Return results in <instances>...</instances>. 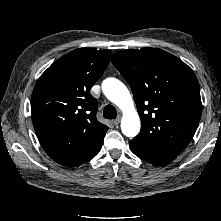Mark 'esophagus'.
I'll list each match as a JSON object with an SVG mask.
<instances>
[{
  "label": "esophagus",
  "mask_w": 221,
  "mask_h": 221,
  "mask_svg": "<svg viewBox=\"0 0 221 221\" xmlns=\"http://www.w3.org/2000/svg\"><path fill=\"white\" fill-rule=\"evenodd\" d=\"M120 121H121V118L118 117V118H116L115 120H113V124H114L115 126H117V125L120 123Z\"/></svg>",
  "instance_id": "1"
}]
</instances>
